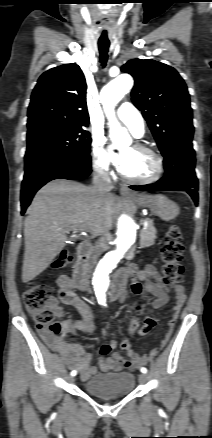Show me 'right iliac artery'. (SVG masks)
Returning <instances> with one entry per match:
<instances>
[{
  "label": "right iliac artery",
  "mask_w": 212,
  "mask_h": 438,
  "mask_svg": "<svg viewBox=\"0 0 212 438\" xmlns=\"http://www.w3.org/2000/svg\"><path fill=\"white\" fill-rule=\"evenodd\" d=\"M71 376H75L76 374H77V371L76 370H73V371H71Z\"/></svg>",
  "instance_id": "82829eb1"
}]
</instances>
